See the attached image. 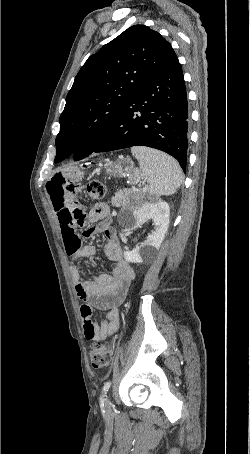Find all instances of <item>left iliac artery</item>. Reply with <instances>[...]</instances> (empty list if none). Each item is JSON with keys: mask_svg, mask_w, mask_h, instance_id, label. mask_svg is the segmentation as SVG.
Instances as JSON below:
<instances>
[{"mask_svg": "<svg viewBox=\"0 0 250 454\" xmlns=\"http://www.w3.org/2000/svg\"><path fill=\"white\" fill-rule=\"evenodd\" d=\"M110 386H111V381L106 382V383L104 384V386H103L102 395H101V397H100V402H101L102 404H103L104 401H105V394H106V392L109 390Z\"/></svg>", "mask_w": 250, "mask_h": 454, "instance_id": "1", "label": "left iliac artery"}]
</instances>
